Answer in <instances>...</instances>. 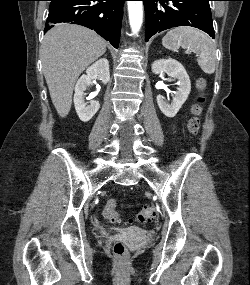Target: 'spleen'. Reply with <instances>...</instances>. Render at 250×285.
<instances>
[{
	"label": "spleen",
	"mask_w": 250,
	"mask_h": 285,
	"mask_svg": "<svg viewBox=\"0 0 250 285\" xmlns=\"http://www.w3.org/2000/svg\"><path fill=\"white\" fill-rule=\"evenodd\" d=\"M162 45L169 50L179 47L197 54V62L206 74H213L216 66V47L211 38L193 27L171 29L162 39Z\"/></svg>",
	"instance_id": "spleen-1"
}]
</instances>
